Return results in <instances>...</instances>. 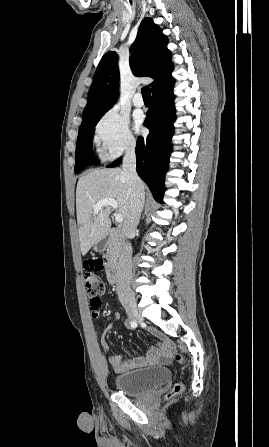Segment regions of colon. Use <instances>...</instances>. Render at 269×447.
<instances>
[{"instance_id": "5ec220e1", "label": "colon", "mask_w": 269, "mask_h": 447, "mask_svg": "<svg viewBox=\"0 0 269 447\" xmlns=\"http://www.w3.org/2000/svg\"><path fill=\"white\" fill-rule=\"evenodd\" d=\"M105 259L104 257H87L84 264V287L86 290V295L91 298V303L89 310L93 313V318H98L99 310V296H102L105 291V283L103 280L97 277L96 271H102L104 268ZM176 359L178 362H184V358L181 353H176ZM183 391V385L178 382L173 388L167 393L166 401L170 402L175 397L180 395Z\"/></svg>"}]
</instances>
